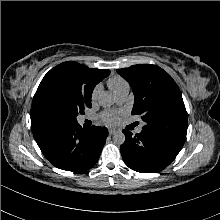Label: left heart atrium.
I'll return each instance as SVG.
<instances>
[{"instance_id": "1", "label": "left heart atrium", "mask_w": 220, "mask_h": 220, "mask_svg": "<svg viewBox=\"0 0 220 220\" xmlns=\"http://www.w3.org/2000/svg\"><path fill=\"white\" fill-rule=\"evenodd\" d=\"M101 119L107 124H116L119 121V113L115 111H106L102 113Z\"/></svg>"}]
</instances>
